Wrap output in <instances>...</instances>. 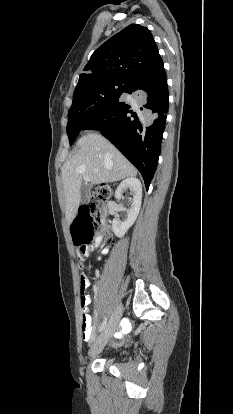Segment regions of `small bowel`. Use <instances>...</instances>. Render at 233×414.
Returning a JSON list of instances; mask_svg holds the SVG:
<instances>
[{"label": "small bowel", "mask_w": 233, "mask_h": 414, "mask_svg": "<svg viewBox=\"0 0 233 414\" xmlns=\"http://www.w3.org/2000/svg\"><path fill=\"white\" fill-rule=\"evenodd\" d=\"M95 248V245L87 246L83 248L81 251L83 255L88 256ZM105 252V250H103ZM99 259V257H97ZM86 270L79 271V283L80 289L82 293H85L90 288V281L88 280ZM82 315H81V327H82V337L86 342H91L94 339L95 330L92 325V317L88 311V307L91 304V297L89 295L83 294L80 300ZM130 329L129 321H126L122 325V332L128 331Z\"/></svg>", "instance_id": "small-bowel-1"}]
</instances>
